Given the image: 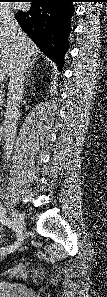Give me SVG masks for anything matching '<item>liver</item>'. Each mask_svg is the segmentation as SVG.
Here are the masks:
<instances>
[{
    "label": "liver",
    "instance_id": "obj_1",
    "mask_svg": "<svg viewBox=\"0 0 107 297\" xmlns=\"http://www.w3.org/2000/svg\"><path fill=\"white\" fill-rule=\"evenodd\" d=\"M19 48H23L30 58L36 57L39 50L33 41L20 30L16 38H12L4 31H0V74L9 75L10 69L18 54Z\"/></svg>",
    "mask_w": 107,
    "mask_h": 297
}]
</instances>
